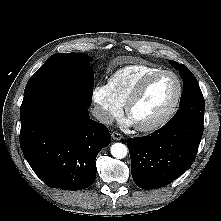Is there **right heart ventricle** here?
Segmentation results:
<instances>
[{"instance_id":"1","label":"right heart ventricle","mask_w":221,"mask_h":221,"mask_svg":"<svg viewBox=\"0 0 221 221\" xmlns=\"http://www.w3.org/2000/svg\"><path fill=\"white\" fill-rule=\"evenodd\" d=\"M158 70L160 68L146 64L127 65L116 70L107 85L116 101L123 106L141 79Z\"/></svg>"}]
</instances>
